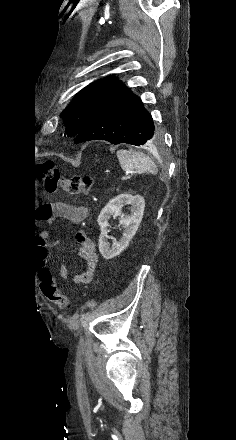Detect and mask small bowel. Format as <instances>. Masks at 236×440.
Returning a JSON list of instances; mask_svg holds the SVG:
<instances>
[{
  "mask_svg": "<svg viewBox=\"0 0 236 440\" xmlns=\"http://www.w3.org/2000/svg\"><path fill=\"white\" fill-rule=\"evenodd\" d=\"M38 214L42 219L47 220L48 222L64 218L78 224L83 222L87 217L88 208L84 205H74L68 202L59 201L40 207ZM75 238L80 244L79 253L84 259L86 267L83 272L75 274L72 281L75 284H86L93 279L97 272L98 257L95 252L94 243L87 238L84 233L77 232ZM53 244L56 245L57 243L54 242ZM38 268L40 270L41 285V281L45 278L46 272L43 270V265L41 263L38 264ZM59 274L63 280L68 279V268L65 264L60 267Z\"/></svg>",
  "mask_w": 236,
  "mask_h": 440,
  "instance_id": "c3829d8e",
  "label": "small bowel"
}]
</instances>
